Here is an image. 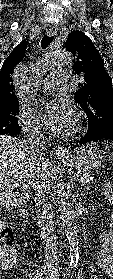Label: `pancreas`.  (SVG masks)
I'll return each mask as SVG.
<instances>
[{
	"label": "pancreas",
	"instance_id": "1",
	"mask_svg": "<svg viewBox=\"0 0 113 279\" xmlns=\"http://www.w3.org/2000/svg\"><path fill=\"white\" fill-rule=\"evenodd\" d=\"M73 177L77 180V182L79 184H81L82 186L89 183V182H92L93 181V177L90 176L89 174L87 173H81V172H77V173H74Z\"/></svg>",
	"mask_w": 113,
	"mask_h": 279
}]
</instances>
